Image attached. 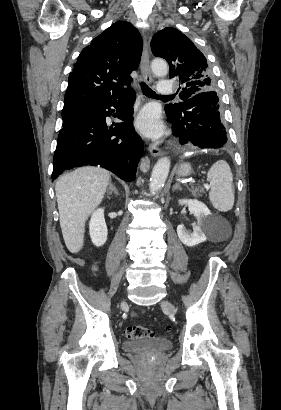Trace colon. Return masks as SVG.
I'll return each mask as SVG.
<instances>
[{"mask_svg": "<svg viewBox=\"0 0 281 410\" xmlns=\"http://www.w3.org/2000/svg\"><path fill=\"white\" fill-rule=\"evenodd\" d=\"M171 329L167 327V332ZM126 336L129 339H143V338H154L156 336L155 332L145 328L143 326H130L126 329Z\"/></svg>", "mask_w": 281, "mask_h": 410, "instance_id": "colon-1", "label": "colon"}]
</instances>
